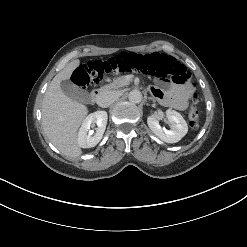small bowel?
I'll return each instance as SVG.
<instances>
[{"label":"small bowel","mask_w":247,"mask_h":247,"mask_svg":"<svg viewBox=\"0 0 247 247\" xmlns=\"http://www.w3.org/2000/svg\"><path fill=\"white\" fill-rule=\"evenodd\" d=\"M152 94L165 106L177 110H185L187 92L177 85L160 87L155 85L151 87Z\"/></svg>","instance_id":"1"}]
</instances>
